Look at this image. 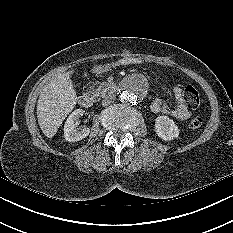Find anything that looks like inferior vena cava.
Here are the masks:
<instances>
[{
	"instance_id": "inferior-vena-cava-1",
	"label": "inferior vena cava",
	"mask_w": 233,
	"mask_h": 233,
	"mask_svg": "<svg viewBox=\"0 0 233 233\" xmlns=\"http://www.w3.org/2000/svg\"><path fill=\"white\" fill-rule=\"evenodd\" d=\"M116 99L115 95H108L102 100L103 106H108L109 104L113 103Z\"/></svg>"
}]
</instances>
